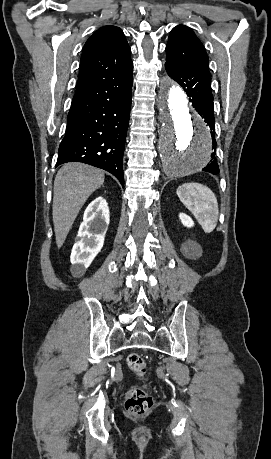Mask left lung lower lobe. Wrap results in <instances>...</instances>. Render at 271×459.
Returning a JSON list of instances; mask_svg holds the SVG:
<instances>
[{
  "label": "left lung lower lobe",
  "mask_w": 271,
  "mask_h": 459,
  "mask_svg": "<svg viewBox=\"0 0 271 459\" xmlns=\"http://www.w3.org/2000/svg\"><path fill=\"white\" fill-rule=\"evenodd\" d=\"M165 68L168 75L184 88V91L190 97L189 101L192 102L195 110L204 118V121L210 127L213 145L212 149H214V152L211 154L210 163L202 170L216 175L219 173V166L215 152L217 143L215 140L211 74L209 71H192L174 67L167 63H165Z\"/></svg>",
  "instance_id": "1"
}]
</instances>
